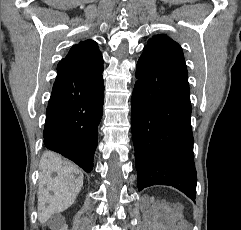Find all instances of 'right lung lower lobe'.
Wrapping results in <instances>:
<instances>
[{
    "label": "right lung lower lobe",
    "instance_id": "right-lung-lower-lobe-1",
    "mask_svg": "<svg viewBox=\"0 0 241 230\" xmlns=\"http://www.w3.org/2000/svg\"><path fill=\"white\" fill-rule=\"evenodd\" d=\"M102 72L75 68L67 60L60 61L46 110L45 146L88 173L93 169L98 125L103 114Z\"/></svg>",
    "mask_w": 241,
    "mask_h": 230
}]
</instances>
